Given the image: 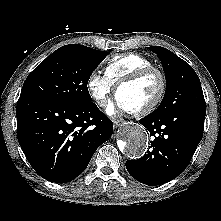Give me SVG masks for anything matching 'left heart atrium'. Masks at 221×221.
<instances>
[{
    "mask_svg": "<svg viewBox=\"0 0 221 221\" xmlns=\"http://www.w3.org/2000/svg\"><path fill=\"white\" fill-rule=\"evenodd\" d=\"M117 109H127L118 97H116L115 101L109 105L107 112L109 114H114L117 111Z\"/></svg>",
    "mask_w": 221,
    "mask_h": 221,
    "instance_id": "obj_1",
    "label": "left heart atrium"
}]
</instances>
